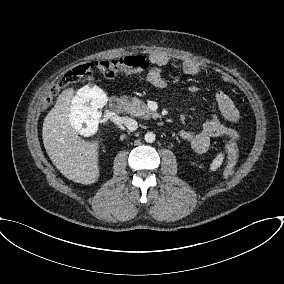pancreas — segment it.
<instances>
[{
	"instance_id": "pancreas-1",
	"label": "pancreas",
	"mask_w": 284,
	"mask_h": 284,
	"mask_svg": "<svg viewBox=\"0 0 284 284\" xmlns=\"http://www.w3.org/2000/svg\"><path fill=\"white\" fill-rule=\"evenodd\" d=\"M121 101L125 107L127 113L134 117L143 118V119H150L156 118L157 113L151 111L147 104H145L142 100L136 97H121Z\"/></svg>"
}]
</instances>
